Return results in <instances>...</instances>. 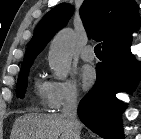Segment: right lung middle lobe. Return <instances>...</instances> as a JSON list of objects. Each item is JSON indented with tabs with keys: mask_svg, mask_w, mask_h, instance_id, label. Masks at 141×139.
Returning <instances> with one entry per match:
<instances>
[{
	"mask_svg": "<svg viewBox=\"0 0 141 139\" xmlns=\"http://www.w3.org/2000/svg\"><path fill=\"white\" fill-rule=\"evenodd\" d=\"M30 67L31 66L21 67V70H20V73H19V76H18L16 94L21 99L24 98V95H25V90H26V87H27V76L29 74V68Z\"/></svg>",
	"mask_w": 141,
	"mask_h": 139,
	"instance_id": "1",
	"label": "right lung middle lobe"
}]
</instances>
